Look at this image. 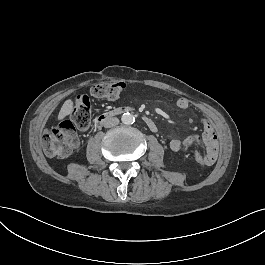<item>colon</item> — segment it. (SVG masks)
Returning a JSON list of instances; mask_svg holds the SVG:
<instances>
[{"label":"colon","mask_w":265,"mask_h":265,"mask_svg":"<svg viewBox=\"0 0 265 265\" xmlns=\"http://www.w3.org/2000/svg\"><path fill=\"white\" fill-rule=\"evenodd\" d=\"M123 89L124 85L122 83H101L92 86L88 94L78 95L72 111L73 122L71 120L62 121L47 130L43 135L44 152L50 157H60L68 154L77 140L74 125L79 128H86L92 120L90 97L113 101L121 95ZM200 152L195 150L193 157L197 163L204 165L200 159Z\"/></svg>","instance_id":"1"}]
</instances>
